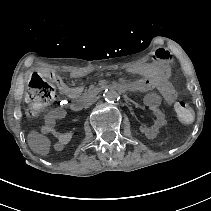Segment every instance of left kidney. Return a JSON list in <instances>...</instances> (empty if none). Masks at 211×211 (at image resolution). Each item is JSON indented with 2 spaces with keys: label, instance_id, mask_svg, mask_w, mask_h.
<instances>
[{
  "label": "left kidney",
  "instance_id": "left-kidney-1",
  "mask_svg": "<svg viewBox=\"0 0 211 211\" xmlns=\"http://www.w3.org/2000/svg\"><path fill=\"white\" fill-rule=\"evenodd\" d=\"M151 115L153 124L146 128L145 135L149 139L158 140L165 130L163 111L159 107H154L151 110Z\"/></svg>",
  "mask_w": 211,
  "mask_h": 211
}]
</instances>
